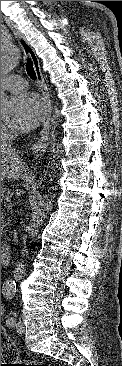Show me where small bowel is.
I'll use <instances>...</instances> for the list:
<instances>
[{"label":"small bowel","mask_w":122,"mask_h":366,"mask_svg":"<svg viewBox=\"0 0 122 366\" xmlns=\"http://www.w3.org/2000/svg\"><path fill=\"white\" fill-rule=\"evenodd\" d=\"M3 315V305L1 304V316Z\"/></svg>","instance_id":"obj_1"}]
</instances>
